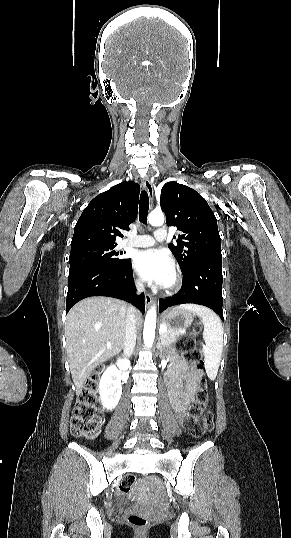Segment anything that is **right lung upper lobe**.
<instances>
[{"label":"right lung upper lobe","mask_w":291,"mask_h":538,"mask_svg":"<svg viewBox=\"0 0 291 538\" xmlns=\"http://www.w3.org/2000/svg\"><path fill=\"white\" fill-rule=\"evenodd\" d=\"M140 186L122 182L99 194L83 210L71 241V249L89 245H117L120 229H129L138 212Z\"/></svg>","instance_id":"1"}]
</instances>
